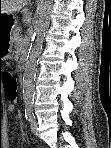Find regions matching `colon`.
Here are the masks:
<instances>
[{
	"label": "colon",
	"instance_id": "1",
	"mask_svg": "<svg viewBox=\"0 0 111 148\" xmlns=\"http://www.w3.org/2000/svg\"><path fill=\"white\" fill-rule=\"evenodd\" d=\"M0 84L3 86V96L8 101L17 99L18 80L16 76L9 71L0 72Z\"/></svg>",
	"mask_w": 111,
	"mask_h": 148
}]
</instances>
